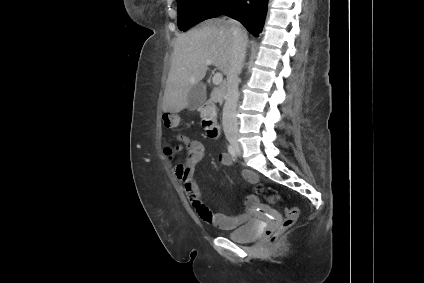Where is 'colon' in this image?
I'll use <instances>...</instances> for the list:
<instances>
[{
  "label": "colon",
  "mask_w": 424,
  "mask_h": 283,
  "mask_svg": "<svg viewBox=\"0 0 424 283\" xmlns=\"http://www.w3.org/2000/svg\"><path fill=\"white\" fill-rule=\"evenodd\" d=\"M162 120L165 128L167 129H175L180 124V117L174 113H164ZM178 151L179 147L174 145H168L164 149V153L169 157L175 156ZM259 191H264L268 199L271 201L278 199L276 192L272 189H259ZM297 218L298 209L296 207H286L285 216L280 226L276 229H268L266 231V236L269 238L270 242H274L280 232L293 226L296 223Z\"/></svg>",
  "instance_id": "obj_1"
}]
</instances>
